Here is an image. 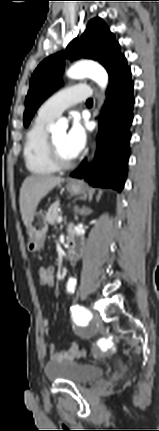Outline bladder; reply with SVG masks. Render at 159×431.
<instances>
[{"instance_id": "obj_1", "label": "bladder", "mask_w": 159, "mask_h": 431, "mask_svg": "<svg viewBox=\"0 0 159 431\" xmlns=\"http://www.w3.org/2000/svg\"><path fill=\"white\" fill-rule=\"evenodd\" d=\"M44 373L49 381L70 382L83 385L103 377L105 369L89 363L67 361L48 362Z\"/></svg>"}]
</instances>
